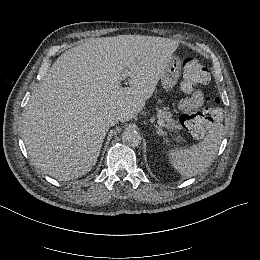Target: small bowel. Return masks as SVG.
<instances>
[{
    "mask_svg": "<svg viewBox=\"0 0 260 260\" xmlns=\"http://www.w3.org/2000/svg\"><path fill=\"white\" fill-rule=\"evenodd\" d=\"M206 102L204 94L200 90L193 91L188 97L180 100L178 108L180 110H195L202 107Z\"/></svg>",
    "mask_w": 260,
    "mask_h": 260,
    "instance_id": "1",
    "label": "small bowel"
}]
</instances>
